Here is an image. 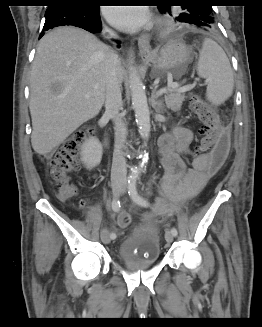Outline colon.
<instances>
[{"label":"colon","mask_w":262,"mask_h":327,"mask_svg":"<svg viewBox=\"0 0 262 327\" xmlns=\"http://www.w3.org/2000/svg\"><path fill=\"white\" fill-rule=\"evenodd\" d=\"M190 105L201 124L196 153L207 155L211 173L217 172L223 167L229 155L228 133L221 127L216 112L201 98L192 96ZM93 132L92 127L76 132L50 160V182L57 188L58 196L62 200H70L76 195V188L70 183V177L78 170L81 161V147ZM179 209L180 206L175 205L158 214L157 220L168 218L176 214ZM130 221V216L125 211L119 213L117 217L119 227H127Z\"/></svg>","instance_id":"obj_1"}]
</instances>
